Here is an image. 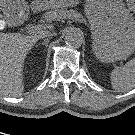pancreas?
Wrapping results in <instances>:
<instances>
[{
	"label": "pancreas",
	"mask_w": 135,
	"mask_h": 135,
	"mask_svg": "<svg viewBox=\"0 0 135 135\" xmlns=\"http://www.w3.org/2000/svg\"><path fill=\"white\" fill-rule=\"evenodd\" d=\"M75 13L73 11L65 10V9H54L44 13L43 18L46 21L52 20H60L67 17L74 16Z\"/></svg>",
	"instance_id": "pancreas-1"
}]
</instances>
